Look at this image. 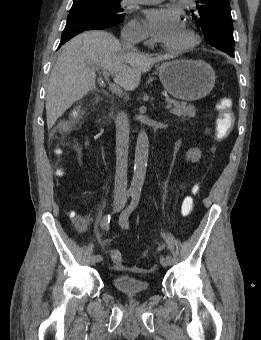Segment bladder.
I'll return each instance as SVG.
<instances>
[{"label":"bladder","mask_w":261,"mask_h":340,"mask_svg":"<svg viewBox=\"0 0 261 340\" xmlns=\"http://www.w3.org/2000/svg\"><path fill=\"white\" fill-rule=\"evenodd\" d=\"M113 285L118 292L127 296L144 295L149 291V284L147 281L128 274L114 277Z\"/></svg>","instance_id":"31cf9c89"}]
</instances>
